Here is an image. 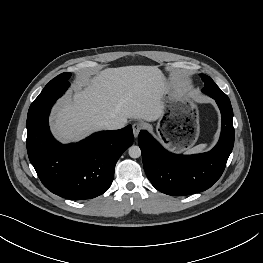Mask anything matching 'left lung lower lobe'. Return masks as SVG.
<instances>
[{
  "label": "left lung lower lobe",
  "mask_w": 263,
  "mask_h": 263,
  "mask_svg": "<svg viewBox=\"0 0 263 263\" xmlns=\"http://www.w3.org/2000/svg\"><path fill=\"white\" fill-rule=\"evenodd\" d=\"M215 99L222 115L217 145L209 152L177 155L165 150L147 131L138 136L145 173L152 185L168 195H190L210 188L222 175L234 145L233 110L229 98Z\"/></svg>",
  "instance_id": "1"
}]
</instances>
